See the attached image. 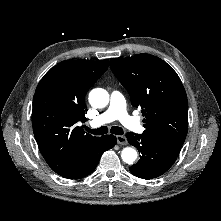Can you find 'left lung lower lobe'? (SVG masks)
<instances>
[{
  "mask_svg": "<svg viewBox=\"0 0 221 221\" xmlns=\"http://www.w3.org/2000/svg\"><path fill=\"white\" fill-rule=\"evenodd\" d=\"M128 142L141 153L139 161L129 170L142 179H152L164 174L175 162L181 146L161 142L140 134H126Z\"/></svg>",
  "mask_w": 221,
  "mask_h": 221,
  "instance_id": "0a47b994",
  "label": "left lung lower lobe"
}]
</instances>
